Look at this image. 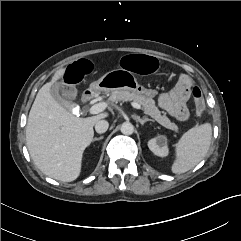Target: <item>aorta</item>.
Masks as SVG:
<instances>
[{
	"mask_svg": "<svg viewBox=\"0 0 241 241\" xmlns=\"http://www.w3.org/2000/svg\"><path fill=\"white\" fill-rule=\"evenodd\" d=\"M121 132L124 135H131L134 132V126L130 122H124L121 125Z\"/></svg>",
	"mask_w": 241,
	"mask_h": 241,
	"instance_id": "1",
	"label": "aorta"
}]
</instances>
